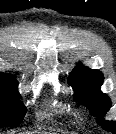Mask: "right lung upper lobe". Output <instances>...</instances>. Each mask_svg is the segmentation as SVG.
<instances>
[{"label":"right lung upper lobe","mask_w":116,"mask_h":134,"mask_svg":"<svg viewBox=\"0 0 116 134\" xmlns=\"http://www.w3.org/2000/svg\"><path fill=\"white\" fill-rule=\"evenodd\" d=\"M0 93L19 94L17 91V81L13 75L0 73Z\"/></svg>","instance_id":"cb5924a9"}]
</instances>
